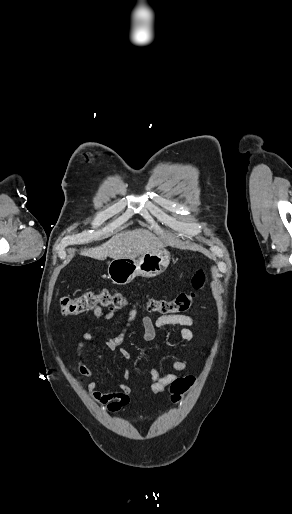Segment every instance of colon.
Returning <instances> with one entry per match:
<instances>
[{
	"instance_id": "1",
	"label": "colon",
	"mask_w": 292,
	"mask_h": 514,
	"mask_svg": "<svg viewBox=\"0 0 292 514\" xmlns=\"http://www.w3.org/2000/svg\"><path fill=\"white\" fill-rule=\"evenodd\" d=\"M205 271L198 270L191 280L190 290L179 294L175 299H154L146 302V310L161 315H178L188 312L193 305L197 293L205 284ZM62 313L66 316H77L96 310H120L127 305V298L121 291L111 292L103 289L99 292L86 291L72 297L64 295L60 299ZM198 379L196 374L184 373L181 379L175 380L169 388L175 401H180V394L189 389Z\"/></svg>"
}]
</instances>
